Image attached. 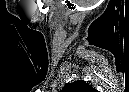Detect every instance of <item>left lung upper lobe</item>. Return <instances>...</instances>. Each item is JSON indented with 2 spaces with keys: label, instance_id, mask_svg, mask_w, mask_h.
<instances>
[{
  "label": "left lung upper lobe",
  "instance_id": "left-lung-upper-lobe-1",
  "mask_svg": "<svg viewBox=\"0 0 129 92\" xmlns=\"http://www.w3.org/2000/svg\"><path fill=\"white\" fill-rule=\"evenodd\" d=\"M96 90L89 86L85 81H76L68 83L61 92H95Z\"/></svg>",
  "mask_w": 129,
  "mask_h": 92
}]
</instances>
